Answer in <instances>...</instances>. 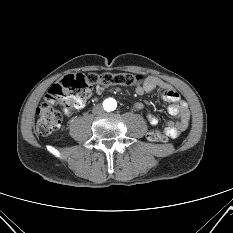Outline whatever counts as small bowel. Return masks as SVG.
Returning a JSON list of instances; mask_svg holds the SVG:
<instances>
[{"instance_id":"c3829d8e","label":"small bowel","mask_w":233,"mask_h":233,"mask_svg":"<svg viewBox=\"0 0 233 233\" xmlns=\"http://www.w3.org/2000/svg\"><path fill=\"white\" fill-rule=\"evenodd\" d=\"M103 90L104 88L101 86H97L96 88L98 93ZM156 90L162 92L163 99L169 103L168 113L176 118L175 121H166L164 131L169 137L176 138L188 128L190 118L188 106L186 102L181 99L179 93L169 83L156 76H148L140 84L135 86V91L138 95L149 94ZM86 105L87 102L81 101L74 107L77 110H81L85 108ZM135 108L137 110H142L144 104L142 102H136ZM64 113L69 116L71 111L66 109L64 110ZM146 119L150 125L154 126L158 124V118L153 113L148 112L146 114Z\"/></svg>"}]
</instances>
